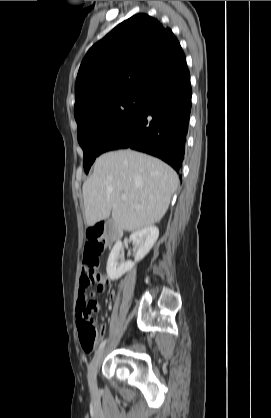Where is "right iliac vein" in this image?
Masks as SVG:
<instances>
[{
	"label": "right iliac vein",
	"instance_id": "63e3f726",
	"mask_svg": "<svg viewBox=\"0 0 271 418\" xmlns=\"http://www.w3.org/2000/svg\"><path fill=\"white\" fill-rule=\"evenodd\" d=\"M105 350L101 349L92 359L89 368H88V380L89 385L92 389L96 388V376H97V370L99 367V364L103 358Z\"/></svg>",
	"mask_w": 271,
	"mask_h": 418
}]
</instances>
